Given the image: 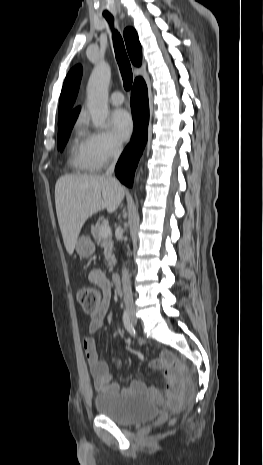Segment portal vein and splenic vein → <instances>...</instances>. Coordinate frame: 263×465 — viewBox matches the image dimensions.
Wrapping results in <instances>:
<instances>
[{
    "label": "portal vein and splenic vein",
    "instance_id": "18ae733b",
    "mask_svg": "<svg viewBox=\"0 0 263 465\" xmlns=\"http://www.w3.org/2000/svg\"><path fill=\"white\" fill-rule=\"evenodd\" d=\"M100 235L102 237H107V236L111 235V229H110L109 225L104 224V226L100 230Z\"/></svg>",
    "mask_w": 263,
    "mask_h": 465
}]
</instances>
